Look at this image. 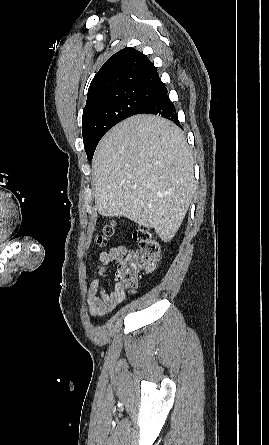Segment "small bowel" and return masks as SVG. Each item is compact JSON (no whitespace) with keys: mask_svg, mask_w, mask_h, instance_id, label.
Here are the masks:
<instances>
[{"mask_svg":"<svg viewBox=\"0 0 269 445\" xmlns=\"http://www.w3.org/2000/svg\"><path fill=\"white\" fill-rule=\"evenodd\" d=\"M127 255V248L117 245L99 254L95 266L97 276L92 279L87 293L89 312L93 317L101 318L109 314L124 298V292L117 288L107 291L102 284L113 263H120Z\"/></svg>","mask_w":269,"mask_h":445,"instance_id":"small-bowel-1","label":"small bowel"}]
</instances>
